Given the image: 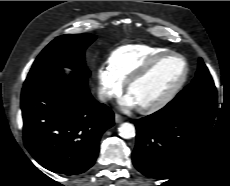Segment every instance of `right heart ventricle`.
<instances>
[{
  "mask_svg": "<svg viewBox=\"0 0 230 186\" xmlns=\"http://www.w3.org/2000/svg\"><path fill=\"white\" fill-rule=\"evenodd\" d=\"M166 51V48L146 44L124 45L110 54L108 66L124 83L150 58Z\"/></svg>",
  "mask_w": 230,
  "mask_h": 186,
  "instance_id": "e07e8e85",
  "label": "right heart ventricle"
}]
</instances>
